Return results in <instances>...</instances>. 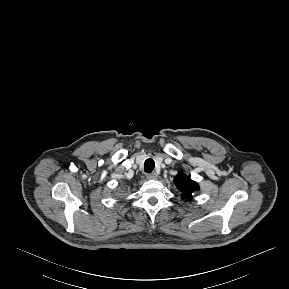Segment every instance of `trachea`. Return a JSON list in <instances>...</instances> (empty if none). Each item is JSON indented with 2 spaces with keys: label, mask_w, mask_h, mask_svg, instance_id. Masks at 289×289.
Here are the masks:
<instances>
[{
  "label": "trachea",
  "mask_w": 289,
  "mask_h": 289,
  "mask_svg": "<svg viewBox=\"0 0 289 289\" xmlns=\"http://www.w3.org/2000/svg\"><path fill=\"white\" fill-rule=\"evenodd\" d=\"M155 167V162L153 159L149 158L144 163V171L147 173H151Z\"/></svg>",
  "instance_id": "1"
}]
</instances>
